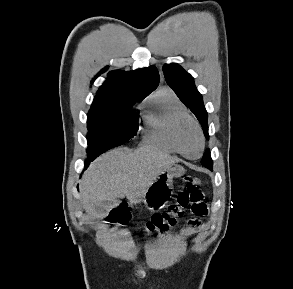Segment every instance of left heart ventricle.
Here are the masks:
<instances>
[{
  "label": "left heart ventricle",
  "instance_id": "left-heart-ventricle-1",
  "mask_svg": "<svg viewBox=\"0 0 293 289\" xmlns=\"http://www.w3.org/2000/svg\"><path fill=\"white\" fill-rule=\"evenodd\" d=\"M183 150L190 156H196L200 151V139L197 130L192 124L187 125L181 134Z\"/></svg>",
  "mask_w": 293,
  "mask_h": 289
}]
</instances>
